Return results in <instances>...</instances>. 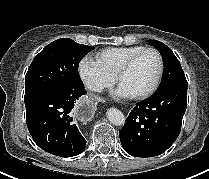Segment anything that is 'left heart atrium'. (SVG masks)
<instances>
[{"instance_id": "left-heart-atrium-1", "label": "left heart atrium", "mask_w": 209, "mask_h": 179, "mask_svg": "<svg viewBox=\"0 0 209 179\" xmlns=\"http://www.w3.org/2000/svg\"><path fill=\"white\" fill-rule=\"evenodd\" d=\"M113 96L116 98H127L131 95L121 86H118L116 90L113 92Z\"/></svg>"}]
</instances>
